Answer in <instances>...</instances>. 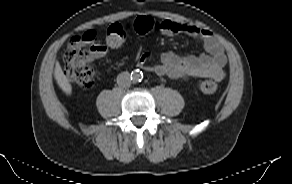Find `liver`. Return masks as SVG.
I'll list each match as a JSON object with an SVG mask.
<instances>
[{
  "label": "liver",
  "instance_id": "liver-1",
  "mask_svg": "<svg viewBox=\"0 0 292 184\" xmlns=\"http://www.w3.org/2000/svg\"><path fill=\"white\" fill-rule=\"evenodd\" d=\"M54 77L62 91L65 92L67 95H70L72 92L71 84L64 75L63 70L58 61L55 64Z\"/></svg>",
  "mask_w": 292,
  "mask_h": 184
}]
</instances>
